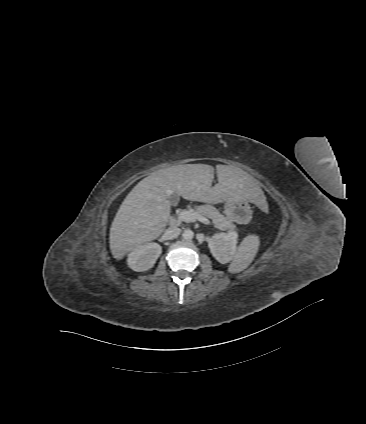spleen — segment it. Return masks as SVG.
Wrapping results in <instances>:
<instances>
[{"instance_id":"3e777b00","label":"spleen","mask_w":366,"mask_h":424,"mask_svg":"<svg viewBox=\"0 0 366 424\" xmlns=\"http://www.w3.org/2000/svg\"><path fill=\"white\" fill-rule=\"evenodd\" d=\"M260 240L257 235H249L240 243L231 264L228 267L230 273H239L245 270L253 261L258 248Z\"/></svg>"}]
</instances>
